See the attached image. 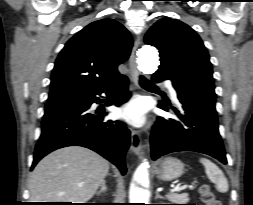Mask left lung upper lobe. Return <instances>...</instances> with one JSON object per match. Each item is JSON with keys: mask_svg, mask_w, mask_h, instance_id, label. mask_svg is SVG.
Wrapping results in <instances>:
<instances>
[{"mask_svg": "<svg viewBox=\"0 0 253 205\" xmlns=\"http://www.w3.org/2000/svg\"><path fill=\"white\" fill-rule=\"evenodd\" d=\"M144 41L159 49L160 67L197 93L216 98L212 66L198 34L187 24L163 18L146 33Z\"/></svg>", "mask_w": 253, "mask_h": 205, "instance_id": "1", "label": "left lung upper lobe"}]
</instances>
